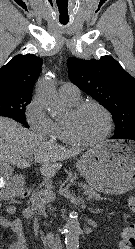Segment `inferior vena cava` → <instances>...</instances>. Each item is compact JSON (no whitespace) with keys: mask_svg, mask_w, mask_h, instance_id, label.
<instances>
[{"mask_svg":"<svg viewBox=\"0 0 135 249\" xmlns=\"http://www.w3.org/2000/svg\"><path fill=\"white\" fill-rule=\"evenodd\" d=\"M52 249H62L59 238L56 237V238L52 241Z\"/></svg>","mask_w":135,"mask_h":249,"instance_id":"1","label":"inferior vena cava"}]
</instances>
